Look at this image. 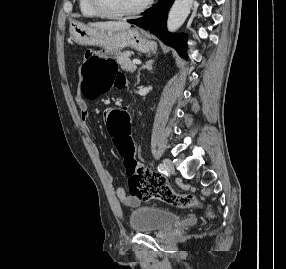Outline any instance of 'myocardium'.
I'll use <instances>...</instances> for the list:
<instances>
[{
    "mask_svg": "<svg viewBox=\"0 0 286 269\" xmlns=\"http://www.w3.org/2000/svg\"><path fill=\"white\" fill-rule=\"evenodd\" d=\"M92 7L94 10L98 13L99 16L109 19H128L135 16L140 15L143 13L152 3L153 0H147L145 1L141 6L136 8L135 10L124 12V13H114L109 10H107L101 0H90Z\"/></svg>",
    "mask_w": 286,
    "mask_h": 269,
    "instance_id": "myocardium-1",
    "label": "myocardium"
}]
</instances>
